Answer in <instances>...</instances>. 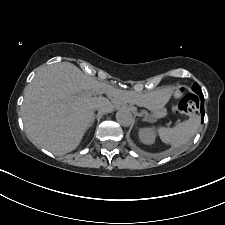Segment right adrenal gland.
<instances>
[{"label":"right adrenal gland","mask_w":225,"mask_h":225,"mask_svg":"<svg viewBox=\"0 0 225 225\" xmlns=\"http://www.w3.org/2000/svg\"><path fill=\"white\" fill-rule=\"evenodd\" d=\"M94 121H95V117H94V119H93V122H92V124L94 123Z\"/></svg>","instance_id":"obj_1"}]
</instances>
